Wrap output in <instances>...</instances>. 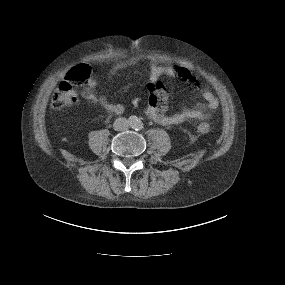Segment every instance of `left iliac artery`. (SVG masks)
Returning a JSON list of instances; mask_svg holds the SVG:
<instances>
[{
  "label": "left iliac artery",
  "mask_w": 285,
  "mask_h": 285,
  "mask_svg": "<svg viewBox=\"0 0 285 285\" xmlns=\"http://www.w3.org/2000/svg\"><path fill=\"white\" fill-rule=\"evenodd\" d=\"M143 128V123L138 122L136 125V130H141Z\"/></svg>",
  "instance_id": "44dca946"
}]
</instances>
